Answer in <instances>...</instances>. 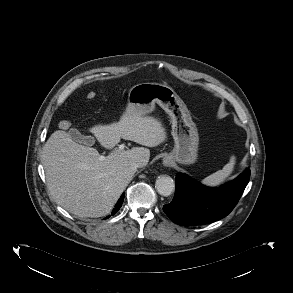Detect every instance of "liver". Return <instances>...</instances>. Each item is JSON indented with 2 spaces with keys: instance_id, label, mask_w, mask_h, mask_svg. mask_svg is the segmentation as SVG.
<instances>
[{
  "instance_id": "obj_1",
  "label": "liver",
  "mask_w": 293,
  "mask_h": 293,
  "mask_svg": "<svg viewBox=\"0 0 293 293\" xmlns=\"http://www.w3.org/2000/svg\"><path fill=\"white\" fill-rule=\"evenodd\" d=\"M90 131L106 149H113L121 138L146 147L158 146L167 138L157 119L127 112L118 123L95 125ZM99 158L95 148L75 142L69 133H52L43 147L42 163L48 189L58 205L79 217L107 215L135 173L130 164L143 161L146 165L150 150L134 147Z\"/></svg>"
}]
</instances>
